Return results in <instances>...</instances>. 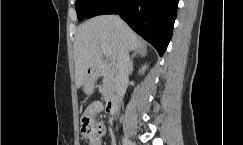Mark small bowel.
<instances>
[{
  "mask_svg": "<svg viewBox=\"0 0 243 145\" xmlns=\"http://www.w3.org/2000/svg\"><path fill=\"white\" fill-rule=\"evenodd\" d=\"M102 110V104L100 102H95L92 104L85 112L91 118L95 131L94 134L86 139V145H102V138L105 134V127L101 123H95L94 116Z\"/></svg>",
  "mask_w": 243,
  "mask_h": 145,
  "instance_id": "obj_1",
  "label": "small bowel"
}]
</instances>
